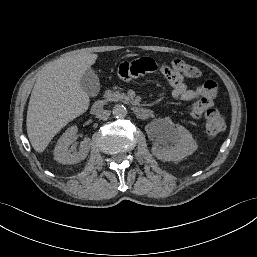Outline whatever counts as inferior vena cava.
<instances>
[{"label": "inferior vena cava", "mask_w": 257, "mask_h": 257, "mask_svg": "<svg viewBox=\"0 0 257 257\" xmlns=\"http://www.w3.org/2000/svg\"><path fill=\"white\" fill-rule=\"evenodd\" d=\"M111 112L108 110H99L96 114V117L101 120H107L110 116Z\"/></svg>", "instance_id": "obj_1"}]
</instances>
